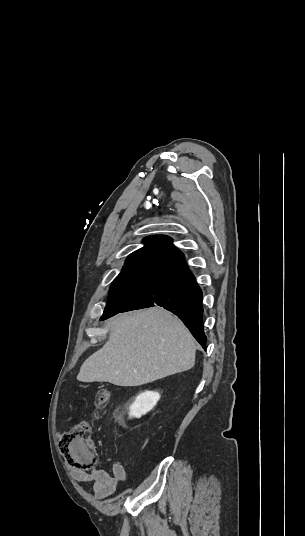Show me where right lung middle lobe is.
Returning <instances> with one entry per match:
<instances>
[{"instance_id":"obj_1","label":"right lung middle lobe","mask_w":305,"mask_h":536,"mask_svg":"<svg viewBox=\"0 0 305 536\" xmlns=\"http://www.w3.org/2000/svg\"><path fill=\"white\" fill-rule=\"evenodd\" d=\"M163 279L159 276L116 277L109 289L108 303L101 318L125 309Z\"/></svg>"}]
</instances>
